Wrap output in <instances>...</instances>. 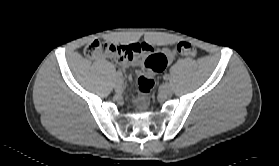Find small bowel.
<instances>
[{
  "label": "small bowel",
  "instance_id": "c3829d8e",
  "mask_svg": "<svg viewBox=\"0 0 279 166\" xmlns=\"http://www.w3.org/2000/svg\"><path fill=\"white\" fill-rule=\"evenodd\" d=\"M140 45L142 46L141 53H143V52L144 53H150V52L153 51V48L148 43H143V44H140ZM157 53H160L164 57L165 64H164L163 69L161 70V71H163L166 68V66L174 60L175 51L165 48L162 51L157 52ZM136 55H134L132 57L120 58V57H116L112 54H108V56L114 58L116 60V62H118L124 68H134V67H137L139 65V60H138Z\"/></svg>",
  "mask_w": 279,
  "mask_h": 166
}]
</instances>
